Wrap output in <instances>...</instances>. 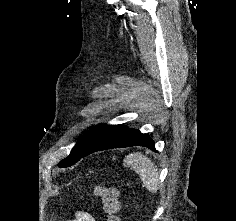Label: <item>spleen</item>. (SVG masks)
Segmentation results:
<instances>
[{
	"mask_svg": "<svg viewBox=\"0 0 236 221\" xmlns=\"http://www.w3.org/2000/svg\"><path fill=\"white\" fill-rule=\"evenodd\" d=\"M124 164L131 166L139 174L143 185L152 193L157 192L159 174L157 166L140 152L132 153L124 159Z\"/></svg>",
	"mask_w": 236,
	"mask_h": 221,
	"instance_id": "spleen-1",
	"label": "spleen"
}]
</instances>
